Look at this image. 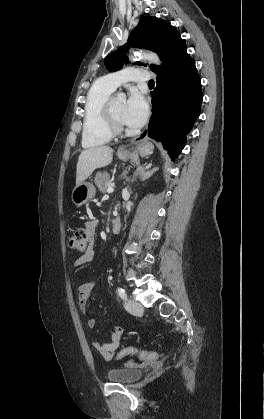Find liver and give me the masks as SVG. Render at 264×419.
<instances>
[{"label": "liver", "mask_w": 264, "mask_h": 419, "mask_svg": "<svg viewBox=\"0 0 264 419\" xmlns=\"http://www.w3.org/2000/svg\"><path fill=\"white\" fill-rule=\"evenodd\" d=\"M113 158V149L109 146H97L83 150L78 158L76 185L84 182L97 168L109 165Z\"/></svg>", "instance_id": "obj_1"}]
</instances>
